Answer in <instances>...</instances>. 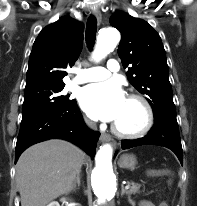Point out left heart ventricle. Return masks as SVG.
Returning a JSON list of instances; mask_svg holds the SVG:
<instances>
[{
	"instance_id": "obj_1",
	"label": "left heart ventricle",
	"mask_w": 197,
	"mask_h": 206,
	"mask_svg": "<svg viewBox=\"0 0 197 206\" xmlns=\"http://www.w3.org/2000/svg\"><path fill=\"white\" fill-rule=\"evenodd\" d=\"M144 119L141 105L136 101L126 99L122 114L115 121V124L123 130L135 131L143 126Z\"/></svg>"
}]
</instances>
